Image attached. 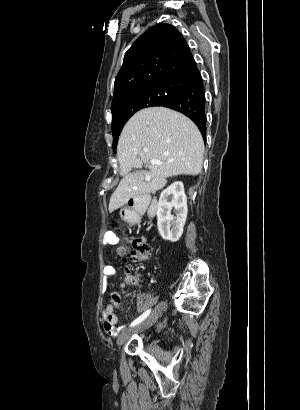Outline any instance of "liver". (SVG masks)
Returning a JSON list of instances; mask_svg holds the SVG:
<instances>
[{"mask_svg": "<svg viewBox=\"0 0 300 410\" xmlns=\"http://www.w3.org/2000/svg\"><path fill=\"white\" fill-rule=\"evenodd\" d=\"M204 141L197 126L185 115L165 107L140 110L124 126L117 145L123 176L109 202V212L129 199L166 185V178L201 172ZM152 159L162 164H151ZM143 163L149 171L130 173Z\"/></svg>", "mask_w": 300, "mask_h": 410, "instance_id": "1", "label": "liver"}]
</instances>
